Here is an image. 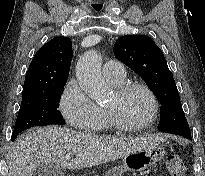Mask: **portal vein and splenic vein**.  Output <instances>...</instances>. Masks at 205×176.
Here are the masks:
<instances>
[{
	"label": "portal vein and splenic vein",
	"instance_id": "18ae733b",
	"mask_svg": "<svg viewBox=\"0 0 205 176\" xmlns=\"http://www.w3.org/2000/svg\"><path fill=\"white\" fill-rule=\"evenodd\" d=\"M72 155H73V153L66 154L65 159L70 160L72 158Z\"/></svg>",
	"mask_w": 205,
	"mask_h": 176
}]
</instances>
